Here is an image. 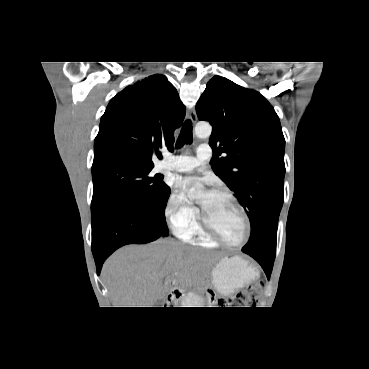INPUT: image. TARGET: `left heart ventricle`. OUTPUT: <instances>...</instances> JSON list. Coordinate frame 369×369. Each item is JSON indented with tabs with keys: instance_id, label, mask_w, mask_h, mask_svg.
Listing matches in <instances>:
<instances>
[{
	"instance_id": "b2bd125f",
	"label": "left heart ventricle",
	"mask_w": 369,
	"mask_h": 369,
	"mask_svg": "<svg viewBox=\"0 0 369 369\" xmlns=\"http://www.w3.org/2000/svg\"><path fill=\"white\" fill-rule=\"evenodd\" d=\"M199 206L214 230L224 239L239 242L245 235L243 216L234 203L226 197L205 194Z\"/></svg>"
}]
</instances>
